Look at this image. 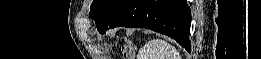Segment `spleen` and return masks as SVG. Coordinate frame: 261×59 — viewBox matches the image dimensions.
<instances>
[{
	"mask_svg": "<svg viewBox=\"0 0 261 59\" xmlns=\"http://www.w3.org/2000/svg\"><path fill=\"white\" fill-rule=\"evenodd\" d=\"M139 59H179L177 49L162 39L151 40L138 54Z\"/></svg>",
	"mask_w": 261,
	"mask_h": 59,
	"instance_id": "spleen-1",
	"label": "spleen"
}]
</instances>
